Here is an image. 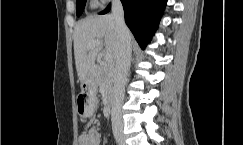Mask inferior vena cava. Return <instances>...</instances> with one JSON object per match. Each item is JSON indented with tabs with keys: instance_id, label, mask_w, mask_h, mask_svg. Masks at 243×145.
Returning a JSON list of instances; mask_svg holds the SVG:
<instances>
[{
	"instance_id": "602c4592",
	"label": "inferior vena cava",
	"mask_w": 243,
	"mask_h": 145,
	"mask_svg": "<svg viewBox=\"0 0 243 145\" xmlns=\"http://www.w3.org/2000/svg\"><path fill=\"white\" fill-rule=\"evenodd\" d=\"M112 16L116 22L119 50L116 57L112 114L121 119L125 95V84L131 65V35L124 21V11L120 0L112 2Z\"/></svg>"
}]
</instances>
